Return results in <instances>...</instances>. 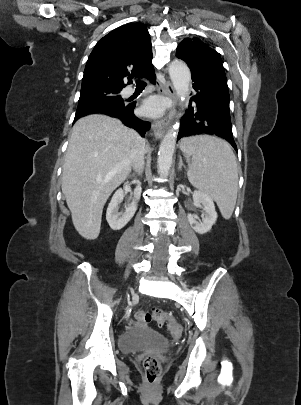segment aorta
<instances>
[{
    "mask_svg": "<svg viewBox=\"0 0 301 405\" xmlns=\"http://www.w3.org/2000/svg\"><path fill=\"white\" fill-rule=\"evenodd\" d=\"M169 75L178 99L181 102L185 101L191 81V73L187 64L177 59L172 61L169 65ZM178 129V123L173 124L160 144L157 159V169L160 176H168L171 170Z\"/></svg>",
    "mask_w": 301,
    "mask_h": 405,
    "instance_id": "obj_1",
    "label": "aorta"
}]
</instances>
